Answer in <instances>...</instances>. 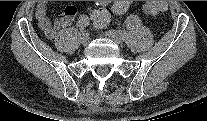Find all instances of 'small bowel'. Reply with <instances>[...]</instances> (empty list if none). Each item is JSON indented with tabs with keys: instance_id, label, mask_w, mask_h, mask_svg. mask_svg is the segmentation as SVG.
Masks as SVG:
<instances>
[{
	"instance_id": "obj_1",
	"label": "small bowel",
	"mask_w": 207,
	"mask_h": 121,
	"mask_svg": "<svg viewBox=\"0 0 207 121\" xmlns=\"http://www.w3.org/2000/svg\"><path fill=\"white\" fill-rule=\"evenodd\" d=\"M100 4L101 6L108 5V2L102 1L100 2ZM112 6L114 7L115 14L120 15V14H123L127 10L128 2L118 1V2L113 3ZM122 6H125V7H122ZM47 9H48L47 2L40 1L37 4L35 16L37 19L38 26L43 32V34L48 39H53L60 29L69 26L73 22L77 10L75 6L68 5L64 9L63 15L57 18L54 22H51L50 19L47 17Z\"/></svg>"
}]
</instances>
